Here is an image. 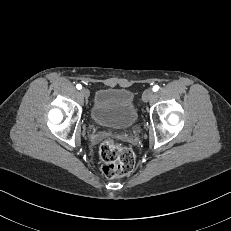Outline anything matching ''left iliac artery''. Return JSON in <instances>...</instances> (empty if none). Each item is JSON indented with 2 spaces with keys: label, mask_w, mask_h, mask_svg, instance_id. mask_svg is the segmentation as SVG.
Wrapping results in <instances>:
<instances>
[{
  "label": "left iliac artery",
  "mask_w": 231,
  "mask_h": 231,
  "mask_svg": "<svg viewBox=\"0 0 231 231\" xmlns=\"http://www.w3.org/2000/svg\"><path fill=\"white\" fill-rule=\"evenodd\" d=\"M158 89H159V86H158V85H155V86L153 87V91H154V92L158 91Z\"/></svg>",
  "instance_id": "obj_1"
}]
</instances>
